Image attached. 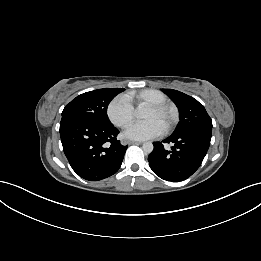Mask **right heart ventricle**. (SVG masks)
I'll list each match as a JSON object with an SVG mask.
<instances>
[{"instance_id": "right-heart-ventricle-1", "label": "right heart ventricle", "mask_w": 261, "mask_h": 261, "mask_svg": "<svg viewBox=\"0 0 261 261\" xmlns=\"http://www.w3.org/2000/svg\"><path fill=\"white\" fill-rule=\"evenodd\" d=\"M126 97L131 104H135L137 106L161 104L166 102L165 94L155 89H144L139 92H132L129 93Z\"/></svg>"}]
</instances>
